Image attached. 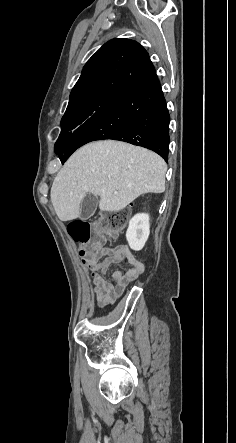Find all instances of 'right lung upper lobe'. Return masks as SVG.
Wrapping results in <instances>:
<instances>
[{
    "instance_id": "cb5924a9",
    "label": "right lung upper lobe",
    "mask_w": 236,
    "mask_h": 443,
    "mask_svg": "<svg viewBox=\"0 0 236 443\" xmlns=\"http://www.w3.org/2000/svg\"><path fill=\"white\" fill-rule=\"evenodd\" d=\"M153 66L147 51L136 41L113 39L85 64L73 87L68 107L100 94L113 95L134 84Z\"/></svg>"
}]
</instances>
